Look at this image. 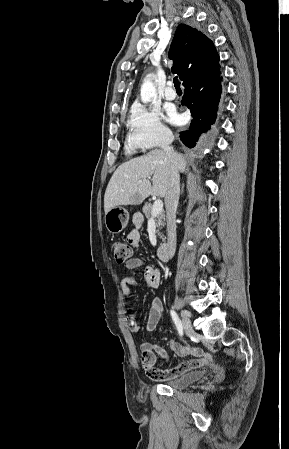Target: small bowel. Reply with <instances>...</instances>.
I'll use <instances>...</instances> for the list:
<instances>
[{
    "instance_id": "1",
    "label": "small bowel",
    "mask_w": 289,
    "mask_h": 449,
    "mask_svg": "<svg viewBox=\"0 0 289 449\" xmlns=\"http://www.w3.org/2000/svg\"><path fill=\"white\" fill-rule=\"evenodd\" d=\"M134 228L131 229L127 235V242L133 247H138L140 243V232L139 227L142 224V219L140 217H135L133 219ZM144 266V262L140 258H131L125 263V267L130 271V275L126 276L121 282V289L125 297L129 298L132 293V288L139 287V282L135 275V270ZM144 280L148 288L157 289L161 282V273L157 268L152 266H144ZM163 314V304L160 298H154L151 301L148 319L146 322V332L152 333ZM129 329L132 332H138L140 329L139 323L135 319L133 313H129L128 317ZM170 348L181 356L192 355L194 356L191 360H186L181 362L175 367L168 369H159L155 367L157 357L161 358L163 361L168 362L169 356L166 350L158 344H152L148 341H141L139 343V350L141 352V363L146 372V374L155 381H165L176 378L188 371L193 369H198L205 367L214 361V358L204 353L200 348L193 347H182L175 341H170Z\"/></svg>"
}]
</instances>
